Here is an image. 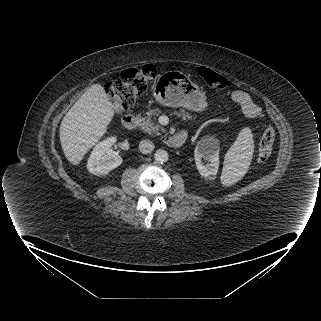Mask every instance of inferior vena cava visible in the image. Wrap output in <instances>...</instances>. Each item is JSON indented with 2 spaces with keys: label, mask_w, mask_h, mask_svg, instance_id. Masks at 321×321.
<instances>
[{
  "label": "inferior vena cava",
  "mask_w": 321,
  "mask_h": 321,
  "mask_svg": "<svg viewBox=\"0 0 321 321\" xmlns=\"http://www.w3.org/2000/svg\"><path fill=\"white\" fill-rule=\"evenodd\" d=\"M154 149V144L150 140H142L139 144V150L143 154H149L153 151Z\"/></svg>",
  "instance_id": "602c4592"
}]
</instances>
